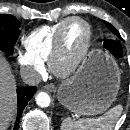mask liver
Segmentation results:
<instances>
[{"label":"liver","instance_id":"liver-1","mask_svg":"<svg viewBox=\"0 0 130 130\" xmlns=\"http://www.w3.org/2000/svg\"><path fill=\"white\" fill-rule=\"evenodd\" d=\"M16 109V81L7 60L0 54V130H6Z\"/></svg>","mask_w":130,"mask_h":130}]
</instances>
